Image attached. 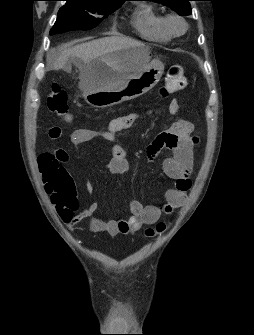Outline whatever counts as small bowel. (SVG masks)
Listing matches in <instances>:
<instances>
[{"label": "small bowel", "instance_id": "c3829d8e", "mask_svg": "<svg viewBox=\"0 0 254 335\" xmlns=\"http://www.w3.org/2000/svg\"><path fill=\"white\" fill-rule=\"evenodd\" d=\"M179 98H171L168 108L164 109L165 115H180ZM136 119L135 114H128L112 119L105 130L76 129L71 133L70 140L73 145L102 139L111 145V158L108 170L112 174H125L129 170L126 152L117 141V134L129 129ZM192 124L184 119L176 121L168 130L159 134L147 147V155L154 159L163 149H169L171 156L163 163L164 173L175 180V186L166 191V203L162 206H143L138 200H132L129 204L131 216L128 219L103 220L93 217L98 209L97 203H90L79 212L76 206L68 201L61 206L60 215L68 227H74L86 218H91L90 228L93 232H104L111 236L127 234L139 231L143 225L156 224L163 215L171 214L176 208L184 205L187 191L191 187L190 174L193 167L192 142L190 138ZM52 140L62 138V130L53 127L49 131ZM59 163L63 166L69 161V155L59 150ZM87 192L91 187L87 186ZM53 201L52 194H50Z\"/></svg>", "mask_w": 254, "mask_h": 335}]
</instances>
